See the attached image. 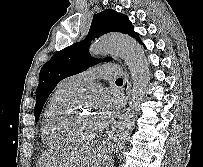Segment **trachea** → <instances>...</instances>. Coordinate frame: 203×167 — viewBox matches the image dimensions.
<instances>
[{
	"mask_svg": "<svg viewBox=\"0 0 203 167\" xmlns=\"http://www.w3.org/2000/svg\"><path fill=\"white\" fill-rule=\"evenodd\" d=\"M116 81L117 82H123V80L121 78H118Z\"/></svg>",
	"mask_w": 203,
	"mask_h": 167,
	"instance_id": "3493384b",
	"label": "trachea"
}]
</instances>
